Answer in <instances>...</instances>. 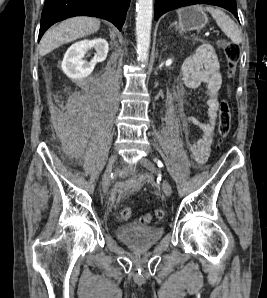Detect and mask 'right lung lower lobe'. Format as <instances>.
Here are the masks:
<instances>
[{
    "mask_svg": "<svg viewBox=\"0 0 267 298\" xmlns=\"http://www.w3.org/2000/svg\"><path fill=\"white\" fill-rule=\"evenodd\" d=\"M130 0H45L39 38L54 23L74 16L106 19L121 30Z\"/></svg>",
    "mask_w": 267,
    "mask_h": 298,
    "instance_id": "1",
    "label": "right lung lower lobe"
}]
</instances>
